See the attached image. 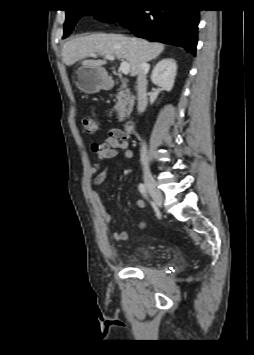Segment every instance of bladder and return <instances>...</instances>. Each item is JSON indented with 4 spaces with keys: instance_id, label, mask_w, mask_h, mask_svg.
<instances>
[{
    "instance_id": "1",
    "label": "bladder",
    "mask_w": 254,
    "mask_h": 355,
    "mask_svg": "<svg viewBox=\"0 0 254 355\" xmlns=\"http://www.w3.org/2000/svg\"><path fill=\"white\" fill-rule=\"evenodd\" d=\"M152 257V252L147 248L140 249L138 259L141 261L149 260Z\"/></svg>"
}]
</instances>
